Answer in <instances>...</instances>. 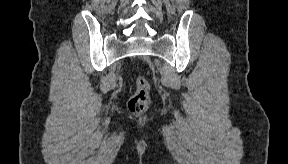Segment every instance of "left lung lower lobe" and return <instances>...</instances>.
<instances>
[{
	"label": "left lung lower lobe",
	"mask_w": 288,
	"mask_h": 164,
	"mask_svg": "<svg viewBox=\"0 0 288 164\" xmlns=\"http://www.w3.org/2000/svg\"><path fill=\"white\" fill-rule=\"evenodd\" d=\"M255 76V89L252 91L254 98L259 101L264 99V90L267 85L266 76L261 72H254Z\"/></svg>",
	"instance_id": "0a47b994"
}]
</instances>
